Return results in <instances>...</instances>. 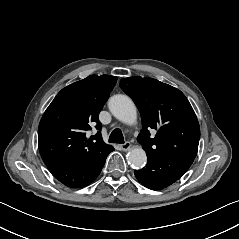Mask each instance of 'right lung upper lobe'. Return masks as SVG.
<instances>
[{"mask_svg":"<svg viewBox=\"0 0 239 239\" xmlns=\"http://www.w3.org/2000/svg\"><path fill=\"white\" fill-rule=\"evenodd\" d=\"M117 77L90 75L63 88L41 118L38 146L46 165L88 161L110 145L102 140L98 115L115 86ZM90 125L95 136L87 137Z\"/></svg>","mask_w":239,"mask_h":239,"instance_id":"1","label":"right lung upper lobe"}]
</instances>
